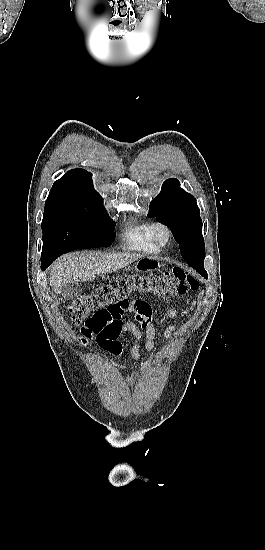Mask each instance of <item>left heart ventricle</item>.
Wrapping results in <instances>:
<instances>
[{
	"mask_svg": "<svg viewBox=\"0 0 265 550\" xmlns=\"http://www.w3.org/2000/svg\"><path fill=\"white\" fill-rule=\"evenodd\" d=\"M160 237H161V239H164V238H165V236H164L163 234H161V236H160Z\"/></svg>",
	"mask_w": 265,
	"mask_h": 550,
	"instance_id": "1",
	"label": "left heart ventricle"
}]
</instances>
